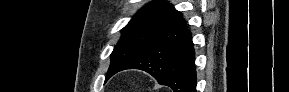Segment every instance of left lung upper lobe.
Segmentation results:
<instances>
[{
    "label": "left lung upper lobe",
    "mask_w": 289,
    "mask_h": 92,
    "mask_svg": "<svg viewBox=\"0 0 289 92\" xmlns=\"http://www.w3.org/2000/svg\"><path fill=\"white\" fill-rule=\"evenodd\" d=\"M182 18V14L165 0L151 2L141 8L121 30V38L110 55L111 64L106 80Z\"/></svg>",
    "instance_id": "left-lung-upper-lobe-1"
}]
</instances>
